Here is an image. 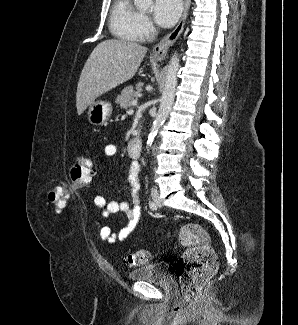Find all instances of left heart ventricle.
Listing matches in <instances>:
<instances>
[{
    "mask_svg": "<svg viewBox=\"0 0 298 325\" xmlns=\"http://www.w3.org/2000/svg\"><path fill=\"white\" fill-rule=\"evenodd\" d=\"M141 7L144 9H149L151 4L148 1H142V3H140Z\"/></svg>",
    "mask_w": 298,
    "mask_h": 325,
    "instance_id": "obj_1",
    "label": "left heart ventricle"
}]
</instances>
